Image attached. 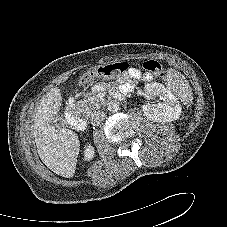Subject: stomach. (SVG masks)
I'll return each instance as SVG.
<instances>
[{"instance_id":"stomach-1","label":"stomach","mask_w":227,"mask_h":227,"mask_svg":"<svg viewBox=\"0 0 227 227\" xmlns=\"http://www.w3.org/2000/svg\"><path fill=\"white\" fill-rule=\"evenodd\" d=\"M97 75L100 73L99 71H98V68L97 69H95V71H94Z\"/></svg>"}]
</instances>
